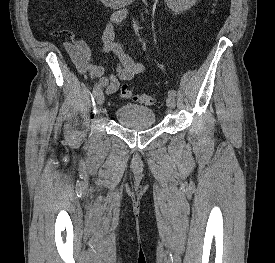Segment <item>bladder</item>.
Instances as JSON below:
<instances>
[{"instance_id": "obj_1", "label": "bladder", "mask_w": 275, "mask_h": 263, "mask_svg": "<svg viewBox=\"0 0 275 263\" xmlns=\"http://www.w3.org/2000/svg\"><path fill=\"white\" fill-rule=\"evenodd\" d=\"M117 122L132 129L151 127L155 123V113L151 108L139 105H122L115 111Z\"/></svg>"}]
</instances>
